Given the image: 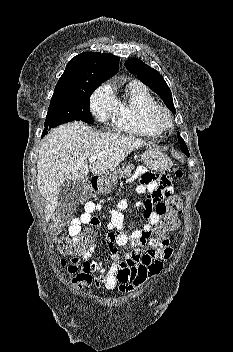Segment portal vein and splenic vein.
<instances>
[{
    "label": "portal vein and splenic vein",
    "instance_id": "1",
    "mask_svg": "<svg viewBox=\"0 0 233 352\" xmlns=\"http://www.w3.org/2000/svg\"><path fill=\"white\" fill-rule=\"evenodd\" d=\"M96 159H97V156H91V157H89V161H90V162H94V161H96Z\"/></svg>",
    "mask_w": 233,
    "mask_h": 352
}]
</instances>
